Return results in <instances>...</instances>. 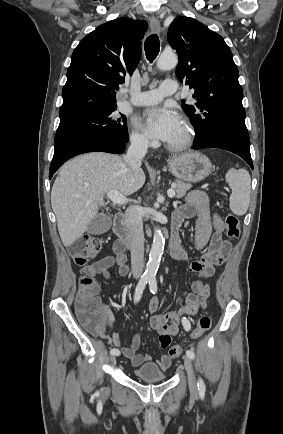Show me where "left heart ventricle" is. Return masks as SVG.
<instances>
[{
	"mask_svg": "<svg viewBox=\"0 0 283 434\" xmlns=\"http://www.w3.org/2000/svg\"><path fill=\"white\" fill-rule=\"evenodd\" d=\"M182 135H183V127H182V124L180 125V128H179V130H178V132H177V134L174 136V138L171 140V141H169L170 143H175V142H178L181 138H182Z\"/></svg>",
	"mask_w": 283,
	"mask_h": 434,
	"instance_id": "obj_1",
	"label": "left heart ventricle"
}]
</instances>
